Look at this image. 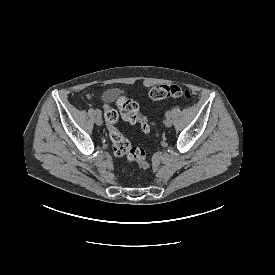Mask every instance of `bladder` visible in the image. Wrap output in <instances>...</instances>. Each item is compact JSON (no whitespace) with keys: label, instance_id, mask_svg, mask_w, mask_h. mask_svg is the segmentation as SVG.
Here are the masks:
<instances>
[{"label":"bladder","instance_id":"obj_1","mask_svg":"<svg viewBox=\"0 0 275 275\" xmlns=\"http://www.w3.org/2000/svg\"><path fill=\"white\" fill-rule=\"evenodd\" d=\"M118 89L116 88H110L105 90L102 95H101V99L104 102H110L113 101L114 99H116L117 95H118Z\"/></svg>","mask_w":275,"mask_h":275}]
</instances>
